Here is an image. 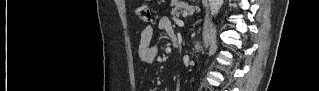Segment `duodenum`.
I'll return each instance as SVG.
<instances>
[{
  "instance_id": "duodenum-1",
  "label": "duodenum",
  "mask_w": 319,
  "mask_h": 91,
  "mask_svg": "<svg viewBox=\"0 0 319 91\" xmlns=\"http://www.w3.org/2000/svg\"><path fill=\"white\" fill-rule=\"evenodd\" d=\"M171 43L173 45V47H177L178 46V38L176 34H173L171 37Z\"/></svg>"
}]
</instances>
